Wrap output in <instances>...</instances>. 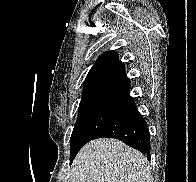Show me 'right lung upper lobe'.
I'll list each match as a JSON object with an SVG mask.
<instances>
[{
    "label": "right lung upper lobe",
    "mask_w": 196,
    "mask_h": 182,
    "mask_svg": "<svg viewBox=\"0 0 196 182\" xmlns=\"http://www.w3.org/2000/svg\"><path fill=\"white\" fill-rule=\"evenodd\" d=\"M129 90L130 80L125 74L124 64L115 51L105 52L96 60L86 77L79 108L97 103L136 108Z\"/></svg>",
    "instance_id": "1"
}]
</instances>
